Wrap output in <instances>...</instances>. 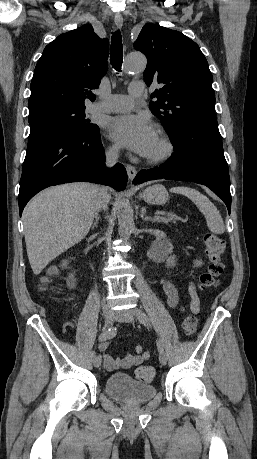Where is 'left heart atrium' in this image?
Here are the masks:
<instances>
[{
    "label": "left heart atrium",
    "instance_id": "obj_1",
    "mask_svg": "<svg viewBox=\"0 0 257 459\" xmlns=\"http://www.w3.org/2000/svg\"><path fill=\"white\" fill-rule=\"evenodd\" d=\"M109 135L120 145L146 156L156 137L153 124L145 115H124L111 119Z\"/></svg>",
    "mask_w": 257,
    "mask_h": 459
}]
</instances>
